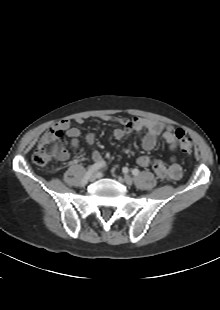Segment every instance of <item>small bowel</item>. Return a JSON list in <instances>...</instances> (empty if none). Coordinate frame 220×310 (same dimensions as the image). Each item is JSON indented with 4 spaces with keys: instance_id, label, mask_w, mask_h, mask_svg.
<instances>
[{
    "instance_id": "obj_1",
    "label": "small bowel",
    "mask_w": 220,
    "mask_h": 310,
    "mask_svg": "<svg viewBox=\"0 0 220 310\" xmlns=\"http://www.w3.org/2000/svg\"><path fill=\"white\" fill-rule=\"evenodd\" d=\"M101 120L114 122L121 127L113 130V136L116 139H122L132 132H144L142 138V147L146 151L154 149L158 139L160 138L173 153L177 151V140L175 138V128L167 123L135 117L132 119L126 117H113L109 115L101 116ZM78 124L83 123V119H76ZM53 129L62 130L65 135L70 138V146L77 148L79 145V138L82 133L79 128L72 126L70 120H61L54 125ZM84 140L91 146L96 143V136L89 132L84 135ZM92 159L95 163L103 164L104 160L99 150L94 149L92 152ZM137 164L141 167L151 166L155 175L162 180L178 181L182 177V168L173 155L169 163L161 160H152L149 156L142 155L137 158Z\"/></svg>"
}]
</instances>
